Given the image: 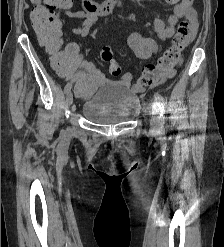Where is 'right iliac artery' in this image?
Masks as SVG:
<instances>
[{
    "label": "right iliac artery",
    "mask_w": 224,
    "mask_h": 247,
    "mask_svg": "<svg viewBox=\"0 0 224 247\" xmlns=\"http://www.w3.org/2000/svg\"><path fill=\"white\" fill-rule=\"evenodd\" d=\"M71 87L72 85L70 83H68L66 86H65V93H68L70 90H71Z\"/></svg>",
    "instance_id": "82829eb1"
}]
</instances>
